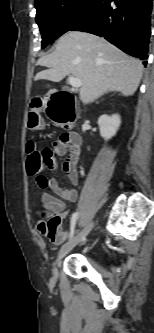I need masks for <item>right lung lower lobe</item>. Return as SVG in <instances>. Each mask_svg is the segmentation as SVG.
I'll use <instances>...</instances> for the list:
<instances>
[{
	"mask_svg": "<svg viewBox=\"0 0 154 333\" xmlns=\"http://www.w3.org/2000/svg\"><path fill=\"white\" fill-rule=\"evenodd\" d=\"M151 7L152 0H99L90 15L70 31L104 37L129 55L144 60L148 57Z\"/></svg>",
	"mask_w": 154,
	"mask_h": 333,
	"instance_id": "right-lung-lower-lobe-1",
	"label": "right lung lower lobe"
}]
</instances>
